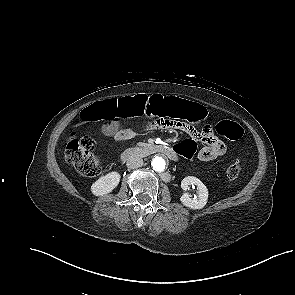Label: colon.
<instances>
[{
    "label": "colon",
    "instance_id": "colon-1",
    "mask_svg": "<svg viewBox=\"0 0 295 295\" xmlns=\"http://www.w3.org/2000/svg\"><path fill=\"white\" fill-rule=\"evenodd\" d=\"M150 116L156 118H169L186 124H198L208 117L207 110L200 104L178 98L162 97H134L119 102H104L95 104L83 111L81 120L84 122L102 121L104 123L119 120ZM166 128V127H159ZM173 128V127H172ZM216 132L229 140H238L243 135L242 127L236 122L223 120L215 127ZM94 140L86 135L78 136L72 133L68 139L65 158L81 175L95 177L100 174L101 167L93 154ZM177 150L185 158L195 155V144L186 140L177 146ZM241 171L238 161L233 162L226 170L228 180H235Z\"/></svg>",
    "mask_w": 295,
    "mask_h": 295
}]
</instances>
